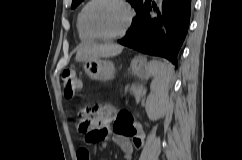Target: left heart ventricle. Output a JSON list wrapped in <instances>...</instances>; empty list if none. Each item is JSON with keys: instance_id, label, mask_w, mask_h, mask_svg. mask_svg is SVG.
Wrapping results in <instances>:
<instances>
[{"instance_id": "b2bd125f", "label": "left heart ventricle", "mask_w": 242, "mask_h": 160, "mask_svg": "<svg viewBox=\"0 0 242 160\" xmlns=\"http://www.w3.org/2000/svg\"><path fill=\"white\" fill-rule=\"evenodd\" d=\"M127 20L125 8L116 0H97L87 10L86 22L97 34H114L123 29Z\"/></svg>"}]
</instances>
